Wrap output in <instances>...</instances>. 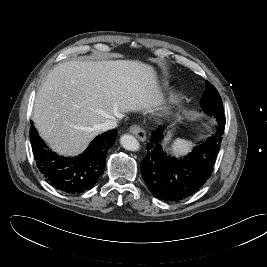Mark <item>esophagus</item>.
Here are the masks:
<instances>
[{
	"instance_id": "esophagus-1",
	"label": "esophagus",
	"mask_w": 267,
	"mask_h": 267,
	"mask_svg": "<svg viewBox=\"0 0 267 267\" xmlns=\"http://www.w3.org/2000/svg\"><path fill=\"white\" fill-rule=\"evenodd\" d=\"M129 132L141 141L146 139V132L139 125H132L129 129Z\"/></svg>"
}]
</instances>
